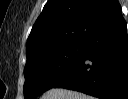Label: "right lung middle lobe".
Returning a JSON list of instances; mask_svg holds the SVG:
<instances>
[{
    "label": "right lung middle lobe",
    "mask_w": 128,
    "mask_h": 99,
    "mask_svg": "<svg viewBox=\"0 0 128 99\" xmlns=\"http://www.w3.org/2000/svg\"><path fill=\"white\" fill-rule=\"evenodd\" d=\"M84 48V42L71 43L28 58L24 69L25 99H35L53 88L75 67Z\"/></svg>",
    "instance_id": "1"
}]
</instances>
